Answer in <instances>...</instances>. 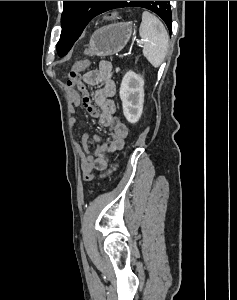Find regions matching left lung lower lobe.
<instances>
[{"label":"left lung lower lobe","mask_w":237,"mask_h":300,"mask_svg":"<svg viewBox=\"0 0 237 300\" xmlns=\"http://www.w3.org/2000/svg\"><path fill=\"white\" fill-rule=\"evenodd\" d=\"M120 2L121 1H111L105 8V12L112 10V9L120 8ZM168 4H169V1H160V8L162 9ZM171 29H170V33H171Z\"/></svg>","instance_id":"obj_1"}]
</instances>
